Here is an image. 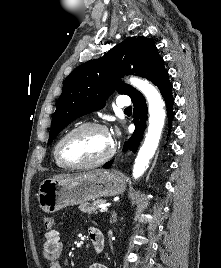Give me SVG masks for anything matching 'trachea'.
<instances>
[{"label": "trachea", "instance_id": "trachea-1", "mask_svg": "<svg viewBox=\"0 0 221 268\" xmlns=\"http://www.w3.org/2000/svg\"><path fill=\"white\" fill-rule=\"evenodd\" d=\"M125 111H127V112L132 111V107H128V108H126Z\"/></svg>", "mask_w": 221, "mask_h": 268}]
</instances>
